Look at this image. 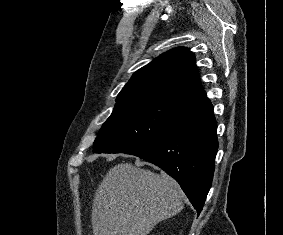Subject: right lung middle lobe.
<instances>
[{"mask_svg": "<svg viewBox=\"0 0 283 235\" xmlns=\"http://www.w3.org/2000/svg\"><path fill=\"white\" fill-rule=\"evenodd\" d=\"M169 100L118 102L94 142L95 153H125L158 137L187 110Z\"/></svg>", "mask_w": 283, "mask_h": 235, "instance_id": "dd1d6c3e", "label": "right lung middle lobe"}]
</instances>
